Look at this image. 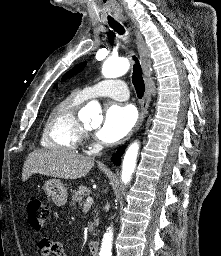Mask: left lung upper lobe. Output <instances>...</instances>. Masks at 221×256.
I'll return each instance as SVG.
<instances>
[{
  "label": "left lung upper lobe",
  "instance_id": "1",
  "mask_svg": "<svg viewBox=\"0 0 221 256\" xmlns=\"http://www.w3.org/2000/svg\"><path fill=\"white\" fill-rule=\"evenodd\" d=\"M86 65V62L80 63L77 66H75L74 68H72L70 71H68L62 78V80H66L72 76H74L75 74L79 73L80 71H82L84 69Z\"/></svg>",
  "mask_w": 221,
  "mask_h": 256
}]
</instances>
